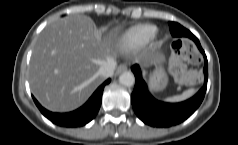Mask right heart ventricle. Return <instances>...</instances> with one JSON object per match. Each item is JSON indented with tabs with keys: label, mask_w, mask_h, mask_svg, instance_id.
<instances>
[{
	"label": "right heart ventricle",
	"mask_w": 238,
	"mask_h": 145,
	"mask_svg": "<svg viewBox=\"0 0 238 145\" xmlns=\"http://www.w3.org/2000/svg\"><path fill=\"white\" fill-rule=\"evenodd\" d=\"M157 33L153 25L142 24L127 30L119 39V44L125 49L140 47L151 41Z\"/></svg>",
	"instance_id": "1"
}]
</instances>
